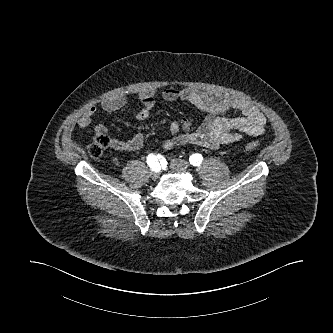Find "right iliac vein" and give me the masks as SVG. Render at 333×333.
I'll list each match as a JSON object with an SVG mask.
<instances>
[{"mask_svg": "<svg viewBox=\"0 0 333 333\" xmlns=\"http://www.w3.org/2000/svg\"><path fill=\"white\" fill-rule=\"evenodd\" d=\"M150 176L153 178V179H156L158 178L159 176V171H153L150 173Z\"/></svg>", "mask_w": 333, "mask_h": 333, "instance_id": "obj_1", "label": "right iliac vein"}]
</instances>
